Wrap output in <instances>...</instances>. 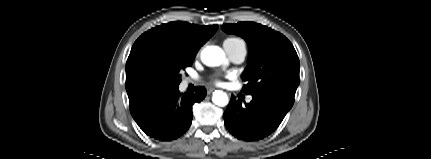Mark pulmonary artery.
<instances>
[{
  "instance_id": "obj_1",
  "label": "pulmonary artery",
  "mask_w": 431,
  "mask_h": 159,
  "mask_svg": "<svg viewBox=\"0 0 431 159\" xmlns=\"http://www.w3.org/2000/svg\"><path fill=\"white\" fill-rule=\"evenodd\" d=\"M224 49L229 58L235 63L242 62L245 59L247 53L246 46L243 41H239L234 44H224ZM250 100L251 97L248 98V101Z\"/></svg>"
}]
</instances>
